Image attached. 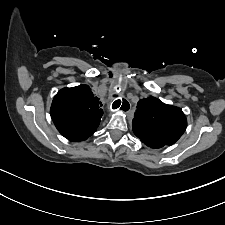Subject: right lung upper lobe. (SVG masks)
<instances>
[{
    "mask_svg": "<svg viewBox=\"0 0 225 225\" xmlns=\"http://www.w3.org/2000/svg\"><path fill=\"white\" fill-rule=\"evenodd\" d=\"M87 85L63 88L55 95L50 114L58 131L68 140L80 142L100 124L103 110Z\"/></svg>",
    "mask_w": 225,
    "mask_h": 225,
    "instance_id": "right-lung-upper-lobe-1",
    "label": "right lung upper lobe"
}]
</instances>
